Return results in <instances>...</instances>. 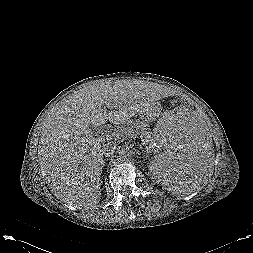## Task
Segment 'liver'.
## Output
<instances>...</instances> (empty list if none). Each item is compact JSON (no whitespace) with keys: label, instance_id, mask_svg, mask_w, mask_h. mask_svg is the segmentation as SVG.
Wrapping results in <instances>:
<instances>
[{"label":"liver","instance_id":"liver-1","mask_svg":"<svg viewBox=\"0 0 253 253\" xmlns=\"http://www.w3.org/2000/svg\"><path fill=\"white\" fill-rule=\"evenodd\" d=\"M157 92L155 84L124 80L93 84L65 99L41 130L38 155L51 192L68 205L94 208L104 160L92 127L126 123L155 102Z\"/></svg>","mask_w":253,"mask_h":253}]
</instances>
